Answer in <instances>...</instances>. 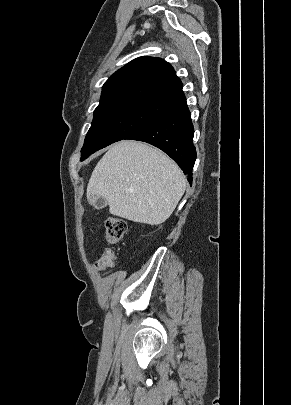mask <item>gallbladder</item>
<instances>
[{
  "label": "gallbladder",
  "instance_id": "gallbladder-1",
  "mask_svg": "<svg viewBox=\"0 0 291 405\" xmlns=\"http://www.w3.org/2000/svg\"><path fill=\"white\" fill-rule=\"evenodd\" d=\"M90 203L95 209L98 210L103 209L107 205L106 201L103 198H91Z\"/></svg>",
  "mask_w": 291,
  "mask_h": 405
}]
</instances>
